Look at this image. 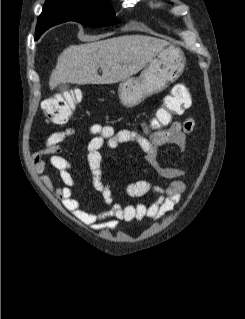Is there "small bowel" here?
Instances as JSON below:
<instances>
[{"instance_id": "1", "label": "small bowel", "mask_w": 245, "mask_h": 319, "mask_svg": "<svg viewBox=\"0 0 245 319\" xmlns=\"http://www.w3.org/2000/svg\"><path fill=\"white\" fill-rule=\"evenodd\" d=\"M185 90V104L190 106L191 97L183 84H176L172 92ZM194 121H173L165 130L151 131L146 122L141 123L140 134L131 129L116 131L112 126L93 124L88 131L93 138L87 144V163L92 174L93 186L101 194L108 208L100 212L85 210L81 203L73 197L75 185L72 176V163L65 157L60 156L62 144L69 137L74 136L78 130L68 127L62 131L53 132L45 141V147L33 155L35 171L42 174L49 163L59 171L63 186H55L46 174L41 175L44 185L63 203L74 216L82 222L90 225L98 231L115 229L121 221H142L144 219H159L172 210L180 201L185 192V184L181 180L184 175L180 168L162 166L158 162L160 149L166 146H176L185 155L187 154V136L192 132ZM136 143L145 152V159L156 176L163 180H169L167 186L154 184L148 180H136L123 186L126 195L130 197H143L148 194H156V198L150 203L120 204L114 201L112 187L102 181V154L101 149L106 146L110 149L119 144ZM49 155L47 161L44 157Z\"/></svg>"}]
</instances>
